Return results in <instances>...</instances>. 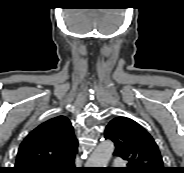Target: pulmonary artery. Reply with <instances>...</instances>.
Instances as JSON below:
<instances>
[{
	"label": "pulmonary artery",
	"instance_id": "e3ab8cb5",
	"mask_svg": "<svg viewBox=\"0 0 184 173\" xmlns=\"http://www.w3.org/2000/svg\"><path fill=\"white\" fill-rule=\"evenodd\" d=\"M116 164L117 165H122V162L121 161H116Z\"/></svg>",
	"mask_w": 184,
	"mask_h": 173
}]
</instances>
